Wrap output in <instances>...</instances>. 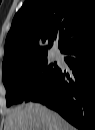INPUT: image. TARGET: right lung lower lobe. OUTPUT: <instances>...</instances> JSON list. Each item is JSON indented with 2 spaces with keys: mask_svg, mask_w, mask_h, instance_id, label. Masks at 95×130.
I'll use <instances>...</instances> for the list:
<instances>
[{
  "mask_svg": "<svg viewBox=\"0 0 95 130\" xmlns=\"http://www.w3.org/2000/svg\"><path fill=\"white\" fill-rule=\"evenodd\" d=\"M62 53L70 74L58 68L49 83L30 101L57 111L72 125L86 129L95 114V33L67 46Z\"/></svg>",
  "mask_w": 95,
  "mask_h": 130,
  "instance_id": "right-lung-lower-lobe-1",
  "label": "right lung lower lobe"
}]
</instances>
